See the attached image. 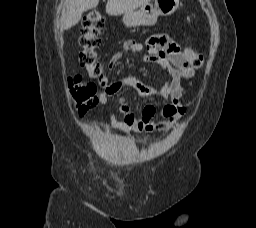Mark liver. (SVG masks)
<instances>
[{
  "label": "liver",
  "mask_w": 256,
  "mask_h": 228,
  "mask_svg": "<svg viewBox=\"0 0 256 228\" xmlns=\"http://www.w3.org/2000/svg\"><path fill=\"white\" fill-rule=\"evenodd\" d=\"M151 0H108L106 12L111 16H118L127 11L137 9ZM99 0H65L66 11L62 15V27L69 29L81 19L85 11L95 8Z\"/></svg>",
  "instance_id": "1"
}]
</instances>
